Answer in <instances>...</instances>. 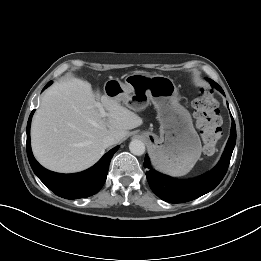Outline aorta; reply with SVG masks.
Returning a JSON list of instances; mask_svg holds the SVG:
<instances>
[{
    "label": "aorta",
    "instance_id": "1",
    "mask_svg": "<svg viewBox=\"0 0 261 261\" xmlns=\"http://www.w3.org/2000/svg\"><path fill=\"white\" fill-rule=\"evenodd\" d=\"M129 150L136 156H141L145 152V144L138 139H134L129 144Z\"/></svg>",
    "mask_w": 261,
    "mask_h": 261
}]
</instances>
